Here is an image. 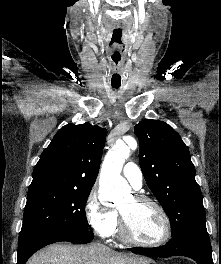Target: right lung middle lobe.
<instances>
[{
  "instance_id": "obj_1",
  "label": "right lung middle lobe",
  "mask_w": 221,
  "mask_h": 264,
  "mask_svg": "<svg viewBox=\"0 0 221 264\" xmlns=\"http://www.w3.org/2000/svg\"><path fill=\"white\" fill-rule=\"evenodd\" d=\"M90 192L60 187L28 191L19 241L40 234L90 231L85 214Z\"/></svg>"
}]
</instances>
